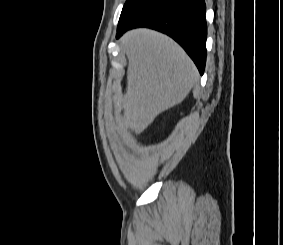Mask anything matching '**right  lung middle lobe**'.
<instances>
[{
    "label": "right lung middle lobe",
    "mask_w": 283,
    "mask_h": 245,
    "mask_svg": "<svg viewBox=\"0 0 283 245\" xmlns=\"http://www.w3.org/2000/svg\"><path fill=\"white\" fill-rule=\"evenodd\" d=\"M149 1L150 0H126V3L122 9L119 23L126 21Z\"/></svg>",
    "instance_id": "1"
}]
</instances>
